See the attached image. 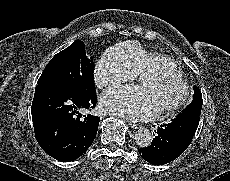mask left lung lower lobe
Returning a JSON list of instances; mask_svg holds the SVG:
<instances>
[{
	"instance_id": "0a47b994",
	"label": "left lung lower lobe",
	"mask_w": 230,
	"mask_h": 181,
	"mask_svg": "<svg viewBox=\"0 0 230 181\" xmlns=\"http://www.w3.org/2000/svg\"><path fill=\"white\" fill-rule=\"evenodd\" d=\"M199 116L186 112L179 114L171 123L159 126L151 145L138 149L141 157L153 165H163L178 158L190 145L199 124Z\"/></svg>"
}]
</instances>
